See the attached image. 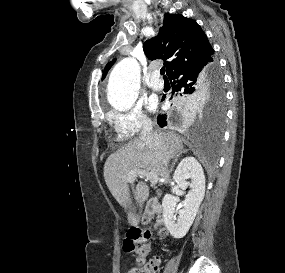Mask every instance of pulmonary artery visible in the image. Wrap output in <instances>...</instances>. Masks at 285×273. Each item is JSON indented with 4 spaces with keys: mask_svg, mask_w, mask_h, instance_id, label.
I'll use <instances>...</instances> for the list:
<instances>
[{
    "mask_svg": "<svg viewBox=\"0 0 285 273\" xmlns=\"http://www.w3.org/2000/svg\"><path fill=\"white\" fill-rule=\"evenodd\" d=\"M149 86L152 90L154 91H161L164 88V83L163 81L160 79V73L158 70H154L151 73L150 76V81H149Z\"/></svg>",
    "mask_w": 285,
    "mask_h": 273,
    "instance_id": "1",
    "label": "pulmonary artery"
}]
</instances>
